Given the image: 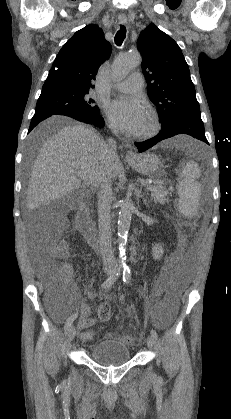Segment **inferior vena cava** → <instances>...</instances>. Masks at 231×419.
Here are the masks:
<instances>
[{
	"label": "inferior vena cava",
	"mask_w": 231,
	"mask_h": 419,
	"mask_svg": "<svg viewBox=\"0 0 231 419\" xmlns=\"http://www.w3.org/2000/svg\"><path fill=\"white\" fill-rule=\"evenodd\" d=\"M110 128L115 135H118V130L116 128L112 126H110ZM105 152L109 158H113L116 155V142L113 139H108ZM111 196V178L107 174H104L98 191L97 211L99 227V249L103 263L106 266L116 265V260L111 244Z\"/></svg>",
	"instance_id": "inferior-vena-cava-1"
}]
</instances>
